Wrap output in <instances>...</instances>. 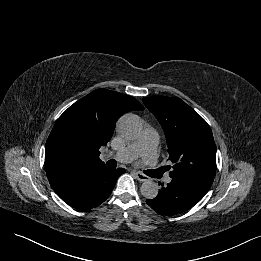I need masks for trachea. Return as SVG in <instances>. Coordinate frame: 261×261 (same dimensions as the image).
I'll use <instances>...</instances> for the list:
<instances>
[{"instance_id":"1","label":"trachea","mask_w":261,"mask_h":261,"mask_svg":"<svg viewBox=\"0 0 261 261\" xmlns=\"http://www.w3.org/2000/svg\"><path fill=\"white\" fill-rule=\"evenodd\" d=\"M108 165L111 166V167H115L117 165L116 161L115 160H110L108 162Z\"/></svg>"}]
</instances>
